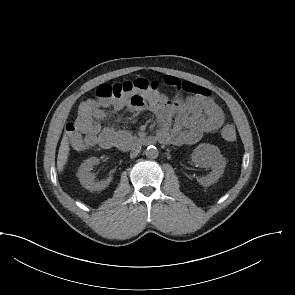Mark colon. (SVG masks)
I'll use <instances>...</instances> for the list:
<instances>
[{
	"label": "colon",
	"mask_w": 295,
	"mask_h": 295,
	"mask_svg": "<svg viewBox=\"0 0 295 295\" xmlns=\"http://www.w3.org/2000/svg\"><path fill=\"white\" fill-rule=\"evenodd\" d=\"M155 82L145 79H135L114 84H101L95 90L96 99H84L79 105L78 117H87L92 110L99 104L111 102L115 99L122 98L132 93H145L157 89ZM221 136L227 142L236 140L235 127L227 123L221 129Z\"/></svg>",
	"instance_id": "colon-1"
}]
</instances>
